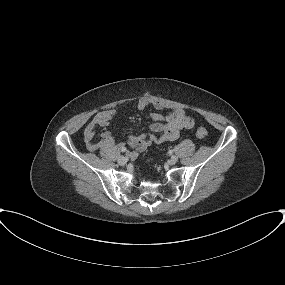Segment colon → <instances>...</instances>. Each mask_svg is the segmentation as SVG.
I'll use <instances>...</instances> for the list:
<instances>
[{
	"label": "colon",
	"mask_w": 285,
	"mask_h": 285,
	"mask_svg": "<svg viewBox=\"0 0 285 285\" xmlns=\"http://www.w3.org/2000/svg\"><path fill=\"white\" fill-rule=\"evenodd\" d=\"M196 134L199 138H205L208 135L206 129L203 127L198 128Z\"/></svg>",
	"instance_id": "obj_1"
}]
</instances>
